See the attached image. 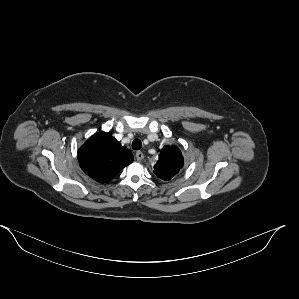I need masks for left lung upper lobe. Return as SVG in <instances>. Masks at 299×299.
Wrapping results in <instances>:
<instances>
[{"label": "left lung upper lobe", "instance_id": "obj_1", "mask_svg": "<svg viewBox=\"0 0 299 299\" xmlns=\"http://www.w3.org/2000/svg\"><path fill=\"white\" fill-rule=\"evenodd\" d=\"M183 167L181 151L175 146H164L159 152V160L154 173L163 180H170Z\"/></svg>", "mask_w": 299, "mask_h": 299}]
</instances>
